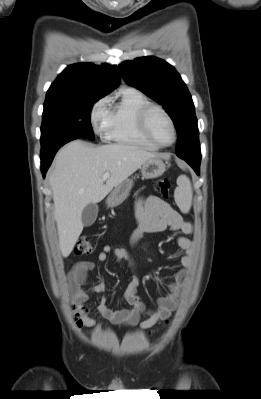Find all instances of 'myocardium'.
I'll return each mask as SVG.
<instances>
[{"label":"myocardium","instance_id":"f54148a6","mask_svg":"<svg viewBox=\"0 0 261 399\" xmlns=\"http://www.w3.org/2000/svg\"><path fill=\"white\" fill-rule=\"evenodd\" d=\"M154 110L160 111L166 117V119L168 120V122L171 125L172 132H173V139L168 144H163V143L158 142L157 140H155L153 138V136L150 133L149 126H148V117H149L150 113L152 111H154ZM137 125H138V129H139V132L141 133V135L148 142H150L151 144H153L157 148L170 147L177 140V128H176L175 122H174L173 118L171 117V115L167 112V110L164 109L160 105L149 103V104L145 105L144 107H142L139 110L138 115H137Z\"/></svg>","mask_w":261,"mask_h":399}]
</instances>
